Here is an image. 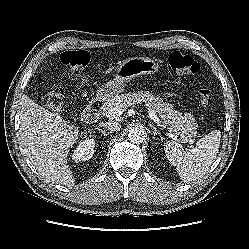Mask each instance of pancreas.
Segmentation results:
<instances>
[{
	"label": "pancreas",
	"instance_id": "1",
	"mask_svg": "<svg viewBox=\"0 0 249 249\" xmlns=\"http://www.w3.org/2000/svg\"><path fill=\"white\" fill-rule=\"evenodd\" d=\"M142 102L148 110L159 117L165 126H170L174 133L179 134L182 142H189L197 135L198 125L191 114L176 111L171 104L163 102L161 98L155 97L149 91L129 92L115 96L103 105L102 110L106 113L117 106L125 111L128 107Z\"/></svg>",
	"mask_w": 249,
	"mask_h": 249
}]
</instances>
